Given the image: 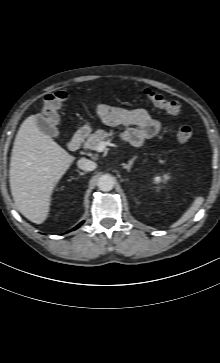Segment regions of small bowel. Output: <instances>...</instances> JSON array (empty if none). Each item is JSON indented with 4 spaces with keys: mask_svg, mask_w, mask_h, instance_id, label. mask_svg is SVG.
Instances as JSON below:
<instances>
[{
    "mask_svg": "<svg viewBox=\"0 0 220 363\" xmlns=\"http://www.w3.org/2000/svg\"><path fill=\"white\" fill-rule=\"evenodd\" d=\"M96 112L107 125L125 126L122 139L134 146H140L145 140L154 138L162 129L161 123L142 108L116 110L100 104L96 107Z\"/></svg>",
    "mask_w": 220,
    "mask_h": 363,
    "instance_id": "obj_1",
    "label": "small bowel"
}]
</instances>
